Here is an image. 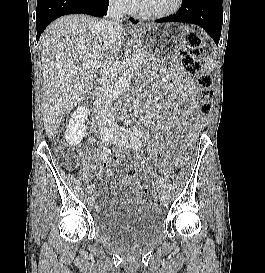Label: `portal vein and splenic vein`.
Masks as SVG:
<instances>
[{"label": "portal vein and splenic vein", "instance_id": "obj_1", "mask_svg": "<svg viewBox=\"0 0 265 273\" xmlns=\"http://www.w3.org/2000/svg\"><path fill=\"white\" fill-rule=\"evenodd\" d=\"M140 57H141V54L136 55V58H140ZM100 67H101L100 63L95 60V61H90V62H88L86 64H83L81 67H76V68L73 69V71L77 72V71H80L82 69H91V68L98 69Z\"/></svg>", "mask_w": 265, "mask_h": 273}]
</instances>
